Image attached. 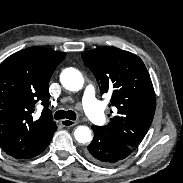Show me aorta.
I'll return each mask as SVG.
<instances>
[{
	"instance_id": "762f6f07",
	"label": "aorta",
	"mask_w": 183,
	"mask_h": 183,
	"mask_svg": "<svg viewBox=\"0 0 183 183\" xmlns=\"http://www.w3.org/2000/svg\"><path fill=\"white\" fill-rule=\"evenodd\" d=\"M60 82L64 88L70 91H78L83 87L84 78L75 68H66L60 75ZM74 136L77 142L82 144L92 140L91 131L87 126H78L74 131Z\"/></svg>"
}]
</instances>
